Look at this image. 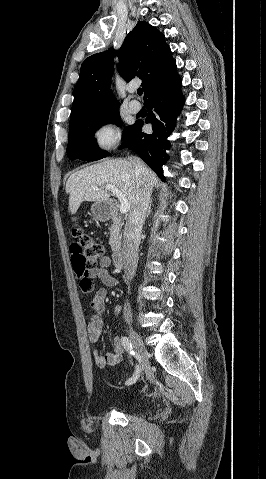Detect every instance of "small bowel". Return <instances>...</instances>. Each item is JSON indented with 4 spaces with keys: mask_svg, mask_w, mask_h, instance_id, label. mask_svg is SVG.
I'll return each mask as SVG.
<instances>
[{
    "mask_svg": "<svg viewBox=\"0 0 266 479\" xmlns=\"http://www.w3.org/2000/svg\"><path fill=\"white\" fill-rule=\"evenodd\" d=\"M110 265V259L104 257L99 267L92 269L89 272L91 279H98L106 287H116L119 284L118 279L110 274L106 267ZM107 296L106 288H99L93 295L90 303L92 315L87 324V331L90 342L93 347V359L97 367L105 368L106 366L117 365L123 358V345L118 337L113 339V350L106 354H101L96 343L103 333V313L105 311V300ZM113 316L119 317L122 313V307L116 305L113 308Z\"/></svg>",
    "mask_w": 266,
    "mask_h": 479,
    "instance_id": "obj_1",
    "label": "small bowel"
}]
</instances>
